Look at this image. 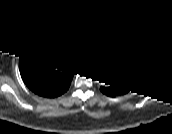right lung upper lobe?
I'll return each mask as SVG.
<instances>
[{
  "label": "right lung upper lobe",
  "mask_w": 172,
  "mask_h": 134,
  "mask_svg": "<svg viewBox=\"0 0 172 134\" xmlns=\"http://www.w3.org/2000/svg\"><path fill=\"white\" fill-rule=\"evenodd\" d=\"M19 69L31 91L49 98L65 93L74 76L65 65L62 40L53 31H40L25 40L20 51Z\"/></svg>",
  "instance_id": "1"
}]
</instances>
